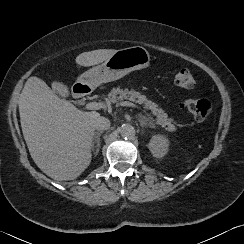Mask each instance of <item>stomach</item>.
Returning a JSON list of instances; mask_svg holds the SVG:
<instances>
[{
  "label": "stomach",
  "instance_id": "1",
  "mask_svg": "<svg viewBox=\"0 0 244 244\" xmlns=\"http://www.w3.org/2000/svg\"><path fill=\"white\" fill-rule=\"evenodd\" d=\"M150 60L149 52L142 46L117 50L104 63L81 74L73 86L81 83L94 88L118 80L132 71L149 67Z\"/></svg>",
  "mask_w": 244,
  "mask_h": 244
}]
</instances>
